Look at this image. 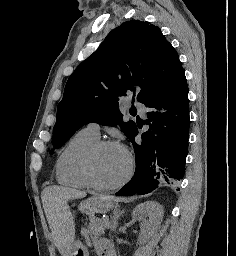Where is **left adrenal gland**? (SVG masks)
Segmentation results:
<instances>
[{
	"label": "left adrenal gland",
	"mask_w": 236,
	"mask_h": 256,
	"mask_svg": "<svg viewBox=\"0 0 236 256\" xmlns=\"http://www.w3.org/2000/svg\"><path fill=\"white\" fill-rule=\"evenodd\" d=\"M118 208H120V206H116L115 210H113V216L111 218V222H112V228L113 230H116L117 226H118V220L120 218V216H122V214H124V210H118Z\"/></svg>",
	"instance_id": "left-adrenal-gland-1"
}]
</instances>
